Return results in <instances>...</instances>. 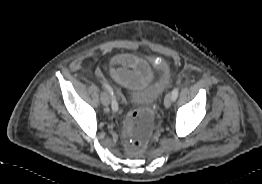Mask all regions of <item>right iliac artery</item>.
Masks as SVG:
<instances>
[{
    "mask_svg": "<svg viewBox=\"0 0 262 184\" xmlns=\"http://www.w3.org/2000/svg\"><path fill=\"white\" fill-rule=\"evenodd\" d=\"M103 86L107 89V91L110 93V95L112 96V109L113 111H117L118 110V104L117 101L115 99L114 96V92L113 89L110 87V85L106 82H103Z\"/></svg>",
    "mask_w": 262,
    "mask_h": 184,
    "instance_id": "1",
    "label": "right iliac artery"
}]
</instances>
